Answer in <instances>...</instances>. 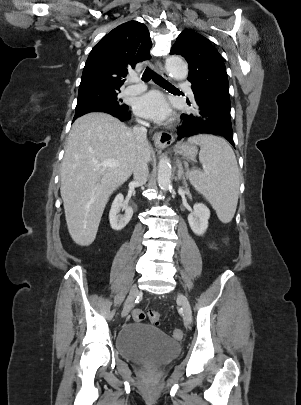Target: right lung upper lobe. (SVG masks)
Returning a JSON list of instances; mask_svg holds the SVG:
<instances>
[{
	"mask_svg": "<svg viewBox=\"0 0 301 405\" xmlns=\"http://www.w3.org/2000/svg\"><path fill=\"white\" fill-rule=\"evenodd\" d=\"M152 42L147 27L137 21L123 23L94 46L82 73L79 91L120 89L129 68L150 59Z\"/></svg>",
	"mask_w": 301,
	"mask_h": 405,
	"instance_id": "1",
	"label": "right lung upper lobe"
}]
</instances>
